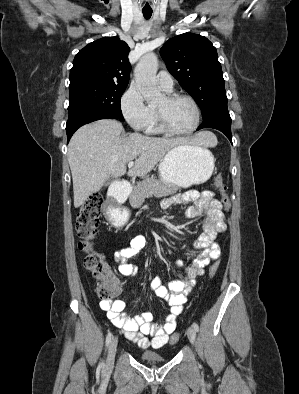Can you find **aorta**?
<instances>
[{
	"instance_id": "1",
	"label": "aorta",
	"mask_w": 299,
	"mask_h": 394,
	"mask_svg": "<svg viewBox=\"0 0 299 394\" xmlns=\"http://www.w3.org/2000/svg\"><path fill=\"white\" fill-rule=\"evenodd\" d=\"M157 70V56L154 53H148L139 60L134 71L136 84L142 96L148 102H153L162 96L157 88Z\"/></svg>"
}]
</instances>
